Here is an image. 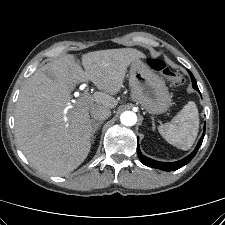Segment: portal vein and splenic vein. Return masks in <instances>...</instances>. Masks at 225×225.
Returning a JSON list of instances; mask_svg holds the SVG:
<instances>
[{"label": "portal vein and splenic vein", "mask_w": 225, "mask_h": 225, "mask_svg": "<svg viewBox=\"0 0 225 225\" xmlns=\"http://www.w3.org/2000/svg\"><path fill=\"white\" fill-rule=\"evenodd\" d=\"M90 99H91V96H90V94H88V93L85 94L84 97H83L84 102H89ZM70 108H71V106H68V107H67V109H70Z\"/></svg>", "instance_id": "1"}]
</instances>
